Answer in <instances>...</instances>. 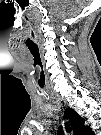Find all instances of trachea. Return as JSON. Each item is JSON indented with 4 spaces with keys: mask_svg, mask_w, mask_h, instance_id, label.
<instances>
[{
    "mask_svg": "<svg viewBox=\"0 0 101 135\" xmlns=\"http://www.w3.org/2000/svg\"><path fill=\"white\" fill-rule=\"evenodd\" d=\"M66 129H67V131L71 130V128H70V126L68 124H66Z\"/></svg>",
    "mask_w": 101,
    "mask_h": 135,
    "instance_id": "obj_1",
    "label": "trachea"
}]
</instances>
